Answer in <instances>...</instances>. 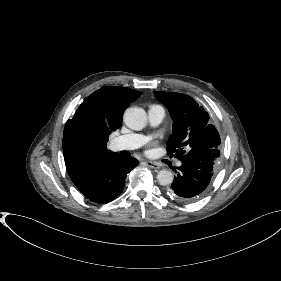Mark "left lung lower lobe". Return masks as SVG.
<instances>
[{
  "instance_id": "0a47b994",
  "label": "left lung lower lobe",
  "mask_w": 281,
  "mask_h": 281,
  "mask_svg": "<svg viewBox=\"0 0 281 281\" xmlns=\"http://www.w3.org/2000/svg\"><path fill=\"white\" fill-rule=\"evenodd\" d=\"M219 156V147L192 148L181 159L182 165L174 170L176 176L171 185L174 196L184 202L201 197L211 182Z\"/></svg>"
}]
</instances>
